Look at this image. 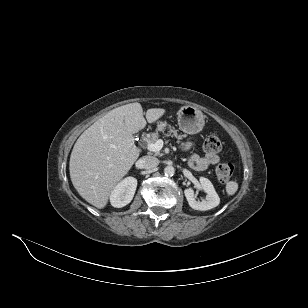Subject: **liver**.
Returning a JSON list of instances; mask_svg holds the SVG:
<instances>
[{
  "mask_svg": "<svg viewBox=\"0 0 308 308\" xmlns=\"http://www.w3.org/2000/svg\"><path fill=\"white\" fill-rule=\"evenodd\" d=\"M164 114L165 109L151 108L146 119L153 123ZM145 126L142 106L135 102L109 111L81 134L70 156L69 171L82 198L99 209L106 206L139 157L133 134Z\"/></svg>",
  "mask_w": 308,
  "mask_h": 308,
  "instance_id": "obj_1",
  "label": "liver"
}]
</instances>
